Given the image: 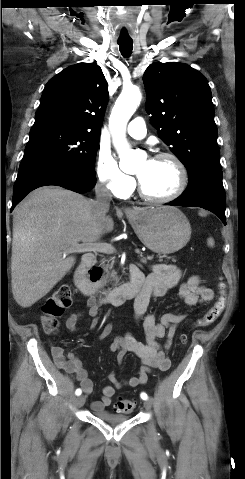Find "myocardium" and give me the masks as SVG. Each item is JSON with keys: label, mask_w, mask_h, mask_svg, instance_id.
Segmentation results:
<instances>
[{"label": "myocardium", "mask_w": 245, "mask_h": 479, "mask_svg": "<svg viewBox=\"0 0 245 479\" xmlns=\"http://www.w3.org/2000/svg\"><path fill=\"white\" fill-rule=\"evenodd\" d=\"M153 159H169L174 163L178 172L177 185L175 189L168 195L155 197L146 193V191L144 190L140 182V179L137 177L138 194L140 195L142 199L150 203L163 204V203L171 202L175 200L176 198H178L184 192L187 186V181H188L187 169L184 163L182 162V160L176 154L172 152H168V151L159 152L154 156Z\"/></svg>", "instance_id": "f54148a6"}]
</instances>
